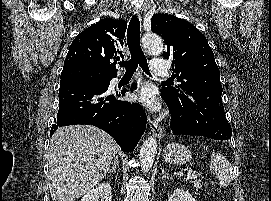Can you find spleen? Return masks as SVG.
Returning <instances> with one entry per match:
<instances>
[{"instance_id":"obj_1","label":"spleen","mask_w":271,"mask_h":201,"mask_svg":"<svg viewBox=\"0 0 271 201\" xmlns=\"http://www.w3.org/2000/svg\"><path fill=\"white\" fill-rule=\"evenodd\" d=\"M203 149L207 148L202 146ZM211 172L217 175L220 188L227 187L233 179V169L228 160L220 153L212 152L209 164Z\"/></svg>"}]
</instances>
